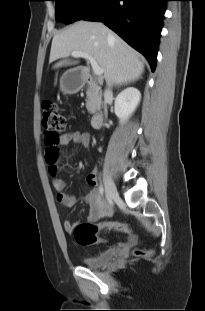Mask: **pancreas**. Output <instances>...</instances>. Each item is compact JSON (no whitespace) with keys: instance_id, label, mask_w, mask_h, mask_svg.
<instances>
[{"instance_id":"pancreas-1","label":"pancreas","mask_w":205,"mask_h":311,"mask_svg":"<svg viewBox=\"0 0 205 311\" xmlns=\"http://www.w3.org/2000/svg\"><path fill=\"white\" fill-rule=\"evenodd\" d=\"M87 100L86 108L91 114H94L100 107L101 104V92L100 88L93 81L88 82V88L86 91Z\"/></svg>"}]
</instances>
